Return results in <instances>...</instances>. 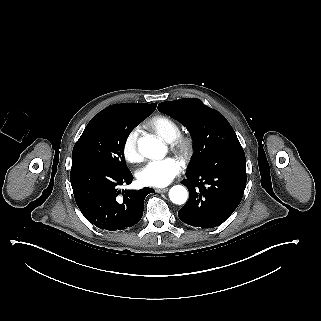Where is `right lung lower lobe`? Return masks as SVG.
Segmentation results:
<instances>
[{"mask_svg": "<svg viewBox=\"0 0 321 321\" xmlns=\"http://www.w3.org/2000/svg\"><path fill=\"white\" fill-rule=\"evenodd\" d=\"M70 180L82 214L96 227L109 231L137 224L143 215L146 195L154 192L151 188L118 190L120 185L132 182L129 169L116 171L100 165L74 164Z\"/></svg>", "mask_w": 321, "mask_h": 321, "instance_id": "98d812e1", "label": "right lung lower lobe"}]
</instances>
